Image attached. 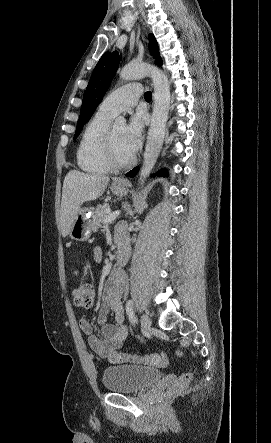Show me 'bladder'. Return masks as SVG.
Returning a JSON list of instances; mask_svg holds the SVG:
<instances>
[{
    "instance_id": "1",
    "label": "bladder",
    "mask_w": 271,
    "mask_h": 443,
    "mask_svg": "<svg viewBox=\"0 0 271 443\" xmlns=\"http://www.w3.org/2000/svg\"><path fill=\"white\" fill-rule=\"evenodd\" d=\"M162 377V372L154 367L138 364H116L104 369L103 386L113 393H133L141 391Z\"/></svg>"
}]
</instances>
